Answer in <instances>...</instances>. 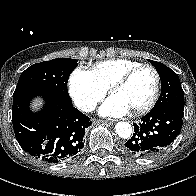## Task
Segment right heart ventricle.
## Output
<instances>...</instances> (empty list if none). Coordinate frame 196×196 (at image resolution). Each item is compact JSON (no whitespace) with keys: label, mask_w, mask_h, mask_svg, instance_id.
<instances>
[{"label":"right heart ventricle","mask_w":196,"mask_h":196,"mask_svg":"<svg viewBox=\"0 0 196 196\" xmlns=\"http://www.w3.org/2000/svg\"><path fill=\"white\" fill-rule=\"evenodd\" d=\"M140 64V62L130 59H110L96 63L92 67L91 73L108 90L120 76Z\"/></svg>","instance_id":"1"}]
</instances>
